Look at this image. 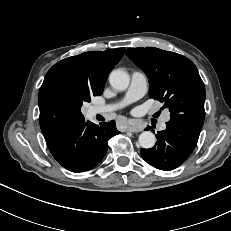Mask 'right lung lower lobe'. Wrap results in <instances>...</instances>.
Instances as JSON below:
<instances>
[{"label": "right lung lower lobe", "instance_id": "1", "mask_svg": "<svg viewBox=\"0 0 231 231\" xmlns=\"http://www.w3.org/2000/svg\"><path fill=\"white\" fill-rule=\"evenodd\" d=\"M119 133L115 121L100 126L87 121L68 128L47 146L64 168L84 172L101 162L108 150V140Z\"/></svg>", "mask_w": 231, "mask_h": 231}]
</instances>
